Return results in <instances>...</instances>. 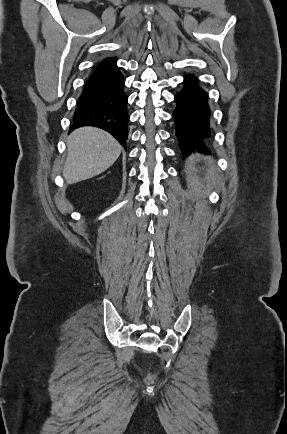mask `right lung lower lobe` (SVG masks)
I'll use <instances>...</instances> for the list:
<instances>
[{
  "mask_svg": "<svg viewBox=\"0 0 287 434\" xmlns=\"http://www.w3.org/2000/svg\"><path fill=\"white\" fill-rule=\"evenodd\" d=\"M124 84L125 78L116 66V59L102 60L84 85L71 129L99 127L111 133L126 148L129 116Z\"/></svg>",
  "mask_w": 287,
  "mask_h": 434,
  "instance_id": "1",
  "label": "right lung lower lobe"
}]
</instances>
